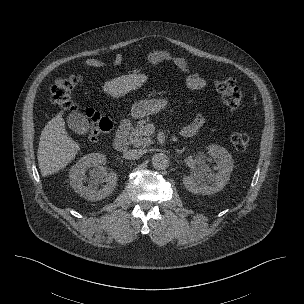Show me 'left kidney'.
<instances>
[{"label":"left kidney","instance_id":"left-kidney-1","mask_svg":"<svg viewBox=\"0 0 304 304\" xmlns=\"http://www.w3.org/2000/svg\"><path fill=\"white\" fill-rule=\"evenodd\" d=\"M208 153L215 159L217 173H213L202 155H198L196 166L191 176L183 177V184L187 190L195 194L210 195L224 188L233 170L232 156L219 145H209Z\"/></svg>","mask_w":304,"mask_h":304}]
</instances>
